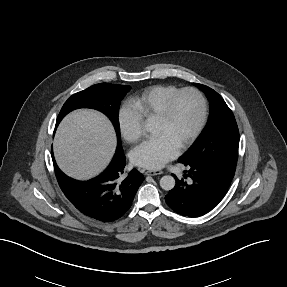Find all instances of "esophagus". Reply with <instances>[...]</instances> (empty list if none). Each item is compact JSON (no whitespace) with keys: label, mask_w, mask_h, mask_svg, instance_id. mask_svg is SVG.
<instances>
[{"label":"esophagus","mask_w":287,"mask_h":287,"mask_svg":"<svg viewBox=\"0 0 287 287\" xmlns=\"http://www.w3.org/2000/svg\"><path fill=\"white\" fill-rule=\"evenodd\" d=\"M163 172L160 170H147L145 171V175H149V176H154V175H160Z\"/></svg>","instance_id":"34e87169"}]
</instances>
